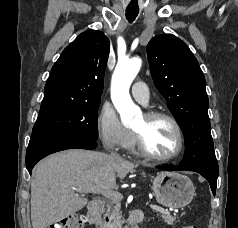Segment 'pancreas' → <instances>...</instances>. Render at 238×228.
Returning <instances> with one entry per match:
<instances>
[{
	"label": "pancreas",
	"instance_id": "cf45deb5",
	"mask_svg": "<svg viewBox=\"0 0 238 228\" xmlns=\"http://www.w3.org/2000/svg\"><path fill=\"white\" fill-rule=\"evenodd\" d=\"M106 215L109 218V222L104 224L105 228H122L124 220L120 211V200H113L107 205ZM161 218L169 225L177 223L176 218L170 214H162Z\"/></svg>",
	"mask_w": 238,
	"mask_h": 228
}]
</instances>
